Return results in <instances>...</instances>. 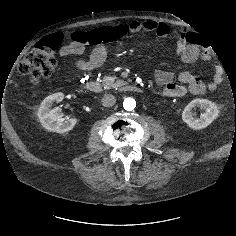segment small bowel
Here are the masks:
<instances>
[{
    "label": "small bowel",
    "mask_w": 236,
    "mask_h": 236,
    "mask_svg": "<svg viewBox=\"0 0 236 236\" xmlns=\"http://www.w3.org/2000/svg\"><path fill=\"white\" fill-rule=\"evenodd\" d=\"M127 33L139 31L153 32L160 37L172 36L176 40L175 55L183 63L189 64L196 61L200 56L208 59L207 54H202L196 45V37L192 32H180L171 30L170 27L163 22L154 20L133 21L125 25ZM85 44L72 41L66 43L59 48V56L66 62L74 65L81 71H92L100 67L106 60L107 50L105 47H96L93 49L88 58H76L70 60L72 56H79L84 53ZM155 81L161 87V93L164 96L172 98H180L187 93L202 94L206 89L215 90L222 80V71L217 69L210 83L206 85L203 80L196 74L183 71L178 74L179 83L175 82L172 72L159 70L155 73Z\"/></svg>",
    "instance_id": "obj_1"
}]
</instances>
